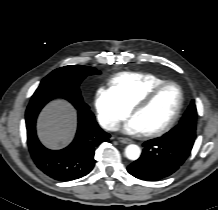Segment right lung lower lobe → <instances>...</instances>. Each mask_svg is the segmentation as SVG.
I'll return each instance as SVG.
<instances>
[{"label":"right lung lower lobe","mask_w":218,"mask_h":210,"mask_svg":"<svg viewBox=\"0 0 218 210\" xmlns=\"http://www.w3.org/2000/svg\"><path fill=\"white\" fill-rule=\"evenodd\" d=\"M54 98L57 97L41 95L30 100L25 114L27 143L33 161L42 172L55 180L70 181L87 175L93 169L95 150L110 135L98 126L83 100L65 98L78 110L76 137L62 150L45 148L36 135V119L44 105Z\"/></svg>","instance_id":"1"}]
</instances>
